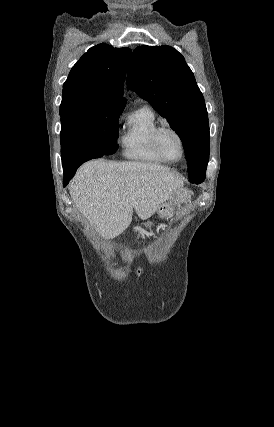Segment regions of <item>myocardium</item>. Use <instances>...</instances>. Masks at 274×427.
<instances>
[{"mask_svg":"<svg viewBox=\"0 0 274 427\" xmlns=\"http://www.w3.org/2000/svg\"><path fill=\"white\" fill-rule=\"evenodd\" d=\"M167 131L174 133L180 140L181 147H182V155H181L180 160H178V161H173V160L169 159L162 150L161 135ZM153 146H154L155 150L157 151V153L160 155V157L165 162H167L169 164L181 163L185 159V156L187 153L186 143H185V139H184L183 135L176 128H174L173 126H170V125H161V126L157 127V129L153 135Z\"/></svg>","mask_w":274,"mask_h":427,"instance_id":"obj_1","label":"myocardium"}]
</instances>
